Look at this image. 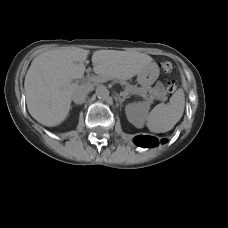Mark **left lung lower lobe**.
I'll return each instance as SVG.
<instances>
[{
    "label": "left lung lower lobe",
    "mask_w": 228,
    "mask_h": 228,
    "mask_svg": "<svg viewBox=\"0 0 228 228\" xmlns=\"http://www.w3.org/2000/svg\"><path fill=\"white\" fill-rule=\"evenodd\" d=\"M164 141L165 140H163V142ZM135 142L137 145L142 147H153L159 144V141L156 138L145 135L137 136L135 138Z\"/></svg>",
    "instance_id": "left-lung-lower-lobe-1"
}]
</instances>
